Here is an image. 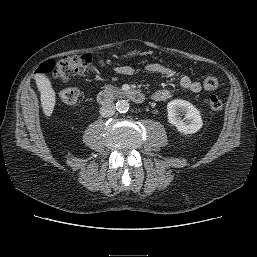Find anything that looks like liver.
<instances>
[{"label":"liver","mask_w":257,"mask_h":257,"mask_svg":"<svg viewBox=\"0 0 257 257\" xmlns=\"http://www.w3.org/2000/svg\"><path fill=\"white\" fill-rule=\"evenodd\" d=\"M37 87L41 95V105L46 116H51L56 103L55 91L51 86L50 80L42 74L35 77Z\"/></svg>","instance_id":"obj_1"}]
</instances>
